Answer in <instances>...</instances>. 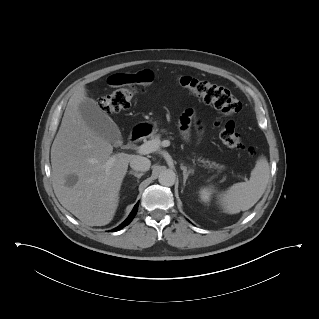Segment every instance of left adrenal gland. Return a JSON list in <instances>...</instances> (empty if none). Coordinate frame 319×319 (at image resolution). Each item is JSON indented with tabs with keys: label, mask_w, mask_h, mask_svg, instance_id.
Segmentation results:
<instances>
[{
	"label": "left adrenal gland",
	"mask_w": 319,
	"mask_h": 319,
	"mask_svg": "<svg viewBox=\"0 0 319 319\" xmlns=\"http://www.w3.org/2000/svg\"><path fill=\"white\" fill-rule=\"evenodd\" d=\"M180 168L183 171V185L185 186V183H186V180L188 179V176L191 173H194V170L193 169H188L187 170V167L184 166L183 164H181Z\"/></svg>",
	"instance_id": "a2214340"
}]
</instances>
